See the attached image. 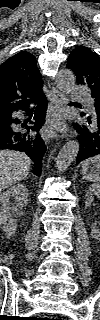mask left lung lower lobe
<instances>
[{
    "mask_svg": "<svg viewBox=\"0 0 100 320\" xmlns=\"http://www.w3.org/2000/svg\"><path fill=\"white\" fill-rule=\"evenodd\" d=\"M87 119L86 124L79 126L74 124V127L80 133V150L77 155V163L95 156L100 155V112L89 116L82 113Z\"/></svg>",
    "mask_w": 100,
    "mask_h": 320,
    "instance_id": "left-lung-lower-lobe-1",
    "label": "left lung lower lobe"
}]
</instances>
